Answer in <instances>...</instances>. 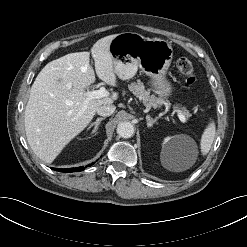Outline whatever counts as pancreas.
<instances>
[{"label": "pancreas", "instance_id": "1", "mask_svg": "<svg viewBox=\"0 0 247 247\" xmlns=\"http://www.w3.org/2000/svg\"><path fill=\"white\" fill-rule=\"evenodd\" d=\"M129 90L140 100L146 107H154L165 103V100L162 98H157L155 95H150L149 90H145V86L142 82L138 81L137 83H131L128 86ZM184 114L188 117L190 116L188 111L184 110Z\"/></svg>", "mask_w": 247, "mask_h": 247}]
</instances>
